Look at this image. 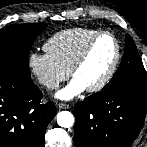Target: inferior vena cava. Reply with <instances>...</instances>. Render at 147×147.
Listing matches in <instances>:
<instances>
[{"label": "inferior vena cava", "instance_id": "1", "mask_svg": "<svg viewBox=\"0 0 147 147\" xmlns=\"http://www.w3.org/2000/svg\"><path fill=\"white\" fill-rule=\"evenodd\" d=\"M47 86H48L49 88H52V89L57 88V84H56V83H52V82H47Z\"/></svg>", "mask_w": 147, "mask_h": 147}]
</instances>
